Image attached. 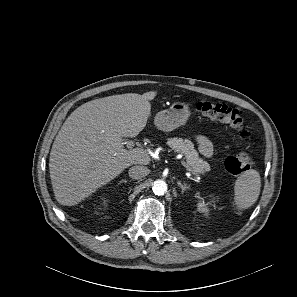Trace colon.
<instances>
[{"label": "colon", "mask_w": 297, "mask_h": 297, "mask_svg": "<svg viewBox=\"0 0 297 297\" xmlns=\"http://www.w3.org/2000/svg\"><path fill=\"white\" fill-rule=\"evenodd\" d=\"M195 108L198 113L209 119L220 120L228 124L239 133L241 138H246L248 136L243 117L239 110L226 104L204 100L198 101ZM252 165V152L242 153L237 156H229L225 160L226 170L235 176L245 173L252 167Z\"/></svg>", "instance_id": "obj_1"}]
</instances>
